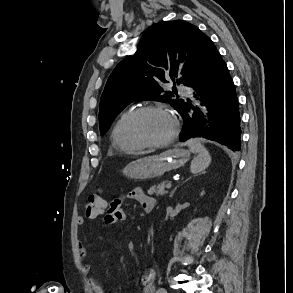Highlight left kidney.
<instances>
[{
    "label": "left kidney",
    "mask_w": 293,
    "mask_h": 293,
    "mask_svg": "<svg viewBox=\"0 0 293 293\" xmlns=\"http://www.w3.org/2000/svg\"><path fill=\"white\" fill-rule=\"evenodd\" d=\"M204 194H205V192H204V191H202L200 195H201V196H203Z\"/></svg>",
    "instance_id": "1"
}]
</instances>
